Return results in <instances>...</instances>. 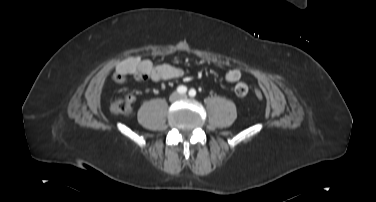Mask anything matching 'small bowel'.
<instances>
[{
    "label": "small bowel",
    "instance_id": "c3829d8e",
    "mask_svg": "<svg viewBox=\"0 0 376 202\" xmlns=\"http://www.w3.org/2000/svg\"><path fill=\"white\" fill-rule=\"evenodd\" d=\"M184 76L185 71L180 67L171 64L155 65L149 59L129 57L117 64L112 74V82L114 84H122L129 77H134L137 80L160 82L180 79ZM241 77L242 73L238 68L229 69L225 73V80L236 84L234 87L236 95L243 97L248 93V87L245 83L241 82Z\"/></svg>",
    "mask_w": 376,
    "mask_h": 202
}]
</instances>
